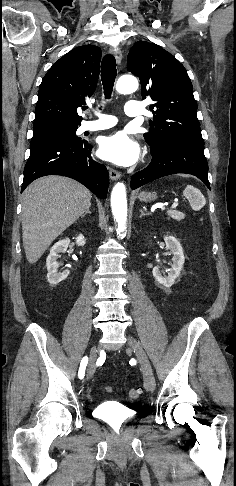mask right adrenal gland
<instances>
[{
    "instance_id": "1",
    "label": "right adrenal gland",
    "mask_w": 236,
    "mask_h": 486,
    "mask_svg": "<svg viewBox=\"0 0 236 486\" xmlns=\"http://www.w3.org/2000/svg\"><path fill=\"white\" fill-rule=\"evenodd\" d=\"M86 214H91V212H90V209H89V208H87V210L85 211V213H84V214H83L81 217H82V218H83V217H85V215H86Z\"/></svg>"
}]
</instances>
